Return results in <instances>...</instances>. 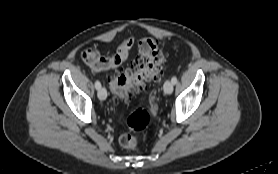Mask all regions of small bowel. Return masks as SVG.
I'll use <instances>...</instances> for the list:
<instances>
[{"label":"small bowel","instance_id":"c3829d8e","mask_svg":"<svg viewBox=\"0 0 278 174\" xmlns=\"http://www.w3.org/2000/svg\"><path fill=\"white\" fill-rule=\"evenodd\" d=\"M133 45L134 38L129 36L122 40L115 54L109 57H102L96 48L91 47L82 53V59L93 72L115 69L128 60Z\"/></svg>","mask_w":278,"mask_h":174}]
</instances>
